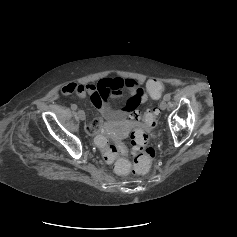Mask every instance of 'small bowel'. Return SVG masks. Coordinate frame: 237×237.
<instances>
[{"label": "small bowel", "instance_id": "small-bowel-1", "mask_svg": "<svg viewBox=\"0 0 237 237\" xmlns=\"http://www.w3.org/2000/svg\"><path fill=\"white\" fill-rule=\"evenodd\" d=\"M123 88L128 89L130 97L122 108L114 110L108 98H119ZM62 93L76 94L79 97L90 96L99 114V118L86 124V131L92 135L98 134L103 128L112 124L125 121L140 104L148 99L145 89L138 81L121 78H104L97 83L87 84L70 83L62 88Z\"/></svg>", "mask_w": 237, "mask_h": 237}]
</instances>
